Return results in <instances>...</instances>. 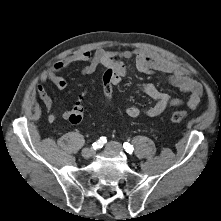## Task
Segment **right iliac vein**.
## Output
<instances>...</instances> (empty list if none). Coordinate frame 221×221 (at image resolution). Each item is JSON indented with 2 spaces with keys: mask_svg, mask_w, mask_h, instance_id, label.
<instances>
[{
  "mask_svg": "<svg viewBox=\"0 0 221 221\" xmlns=\"http://www.w3.org/2000/svg\"><path fill=\"white\" fill-rule=\"evenodd\" d=\"M95 153V151L91 148H84L82 150V156L85 158V159H89L93 156V154Z\"/></svg>",
  "mask_w": 221,
  "mask_h": 221,
  "instance_id": "63e3f726",
  "label": "right iliac vein"
}]
</instances>
